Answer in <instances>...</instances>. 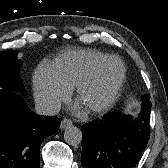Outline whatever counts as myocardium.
Segmentation results:
<instances>
[{
	"mask_svg": "<svg viewBox=\"0 0 168 168\" xmlns=\"http://www.w3.org/2000/svg\"><path fill=\"white\" fill-rule=\"evenodd\" d=\"M110 61L116 62L119 66V77L112 86L107 96L100 103L86 107L87 111L91 114H99L105 112L110 109L116 102L126 80V67L123 61L116 56L106 55L95 64H93L88 72L79 80V82L75 86V97L78 101H80L84 91L95 81L100 69Z\"/></svg>",
	"mask_w": 168,
	"mask_h": 168,
	"instance_id": "1",
	"label": "myocardium"
}]
</instances>
